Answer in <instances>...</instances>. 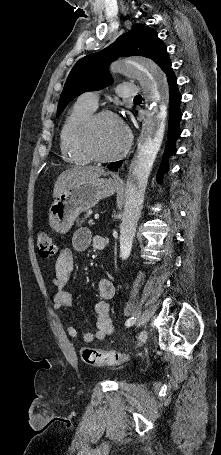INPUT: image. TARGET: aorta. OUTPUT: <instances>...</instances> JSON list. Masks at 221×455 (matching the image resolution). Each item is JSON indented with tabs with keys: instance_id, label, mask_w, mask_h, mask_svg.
<instances>
[{
	"instance_id": "aorta-1",
	"label": "aorta",
	"mask_w": 221,
	"mask_h": 455,
	"mask_svg": "<svg viewBox=\"0 0 221 455\" xmlns=\"http://www.w3.org/2000/svg\"><path fill=\"white\" fill-rule=\"evenodd\" d=\"M111 71L136 76L144 88L147 101L141 138L129 168L120 224V256L126 259L131 252L147 180L165 133L168 86L163 71L149 59H124L114 63Z\"/></svg>"
}]
</instances>
